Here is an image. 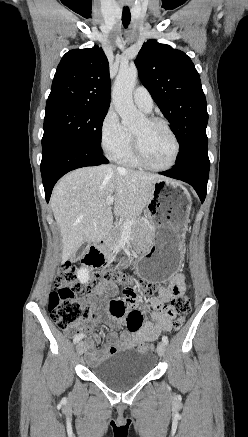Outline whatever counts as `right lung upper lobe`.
Masks as SVG:
<instances>
[{"label":"right lung upper lobe","mask_w":248,"mask_h":437,"mask_svg":"<svg viewBox=\"0 0 248 437\" xmlns=\"http://www.w3.org/2000/svg\"><path fill=\"white\" fill-rule=\"evenodd\" d=\"M52 101H69L101 110L109 108V64L101 48L75 49L62 57L47 100Z\"/></svg>","instance_id":"right-lung-upper-lobe-1"}]
</instances>
